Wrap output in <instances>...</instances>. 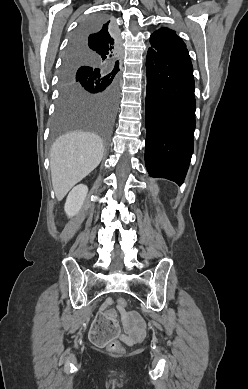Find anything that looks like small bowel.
<instances>
[{
    "label": "small bowel",
    "instance_id": "small-bowel-1",
    "mask_svg": "<svg viewBox=\"0 0 248 389\" xmlns=\"http://www.w3.org/2000/svg\"><path fill=\"white\" fill-rule=\"evenodd\" d=\"M113 304V299L108 297L102 304V310L105 311L109 318H116V313L108 308ZM122 324L126 336L122 335V339L129 342H135L142 338L145 331L144 323L136 312H124L121 310Z\"/></svg>",
    "mask_w": 248,
    "mask_h": 389
}]
</instances>
